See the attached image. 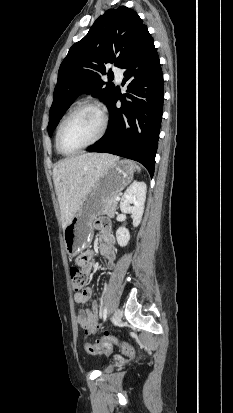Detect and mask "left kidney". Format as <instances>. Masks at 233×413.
Instances as JSON below:
<instances>
[{
    "label": "left kidney",
    "mask_w": 233,
    "mask_h": 413,
    "mask_svg": "<svg viewBox=\"0 0 233 413\" xmlns=\"http://www.w3.org/2000/svg\"><path fill=\"white\" fill-rule=\"evenodd\" d=\"M147 186L144 182L134 181L124 193L120 202V210L123 213H130L133 217V226L137 227L142 219L144 204L146 200ZM133 204V206H131ZM117 242L121 247H125L130 240L129 231L120 227L116 231Z\"/></svg>",
    "instance_id": "obj_1"
}]
</instances>
